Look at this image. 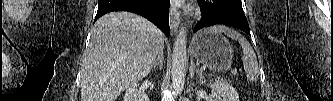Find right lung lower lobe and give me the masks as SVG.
Instances as JSON below:
<instances>
[{"mask_svg":"<svg viewBox=\"0 0 333 101\" xmlns=\"http://www.w3.org/2000/svg\"><path fill=\"white\" fill-rule=\"evenodd\" d=\"M113 11H128L154 23L164 34H170L168 0H98L95 21Z\"/></svg>","mask_w":333,"mask_h":101,"instance_id":"1","label":"right lung lower lobe"}]
</instances>
